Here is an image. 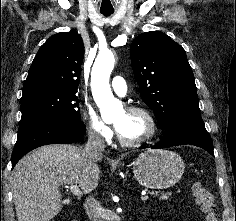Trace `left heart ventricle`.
Instances as JSON below:
<instances>
[{"label":"left heart ventricle","mask_w":236,"mask_h":221,"mask_svg":"<svg viewBox=\"0 0 236 221\" xmlns=\"http://www.w3.org/2000/svg\"><path fill=\"white\" fill-rule=\"evenodd\" d=\"M114 124L126 140H137L144 137L149 131V123L144 115L121 111L114 120Z\"/></svg>","instance_id":"b2bd125f"}]
</instances>
